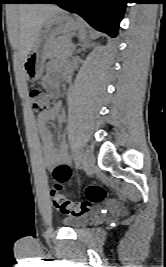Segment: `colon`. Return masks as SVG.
<instances>
[{
  "mask_svg": "<svg viewBox=\"0 0 166 267\" xmlns=\"http://www.w3.org/2000/svg\"><path fill=\"white\" fill-rule=\"evenodd\" d=\"M32 108L36 113H42L54 104V95L41 87H34L30 91ZM71 171L59 168L55 171L54 177L57 184L50 189L52 202L56 210L64 215L79 216L87 214L92 203H100L106 198V191L99 185H90L86 189L87 201H72L61 193L60 183L70 178Z\"/></svg>",
  "mask_w": 166,
  "mask_h": 267,
  "instance_id": "colon-1",
  "label": "colon"
}]
</instances>
